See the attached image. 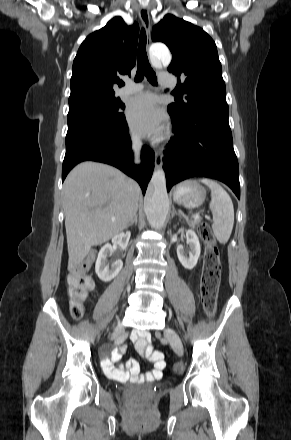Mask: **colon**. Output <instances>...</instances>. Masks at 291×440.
I'll use <instances>...</instances> for the list:
<instances>
[{"label":"colon","instance_id":"1","mask_svg":"<svg viewBox=\"0 0 291 440\" xmlns=\"http://www.w3.org/2000/svg\"><path fill=\"white\" fill-rule=\"evenodd\" d=\"M197 233L206 245L200 285L203 308L206 316L212 317L215 312L216 298L220 285L221 264L219 250L212 231L206 223L201 222L198 224ZM87 265L88 261H83L69 276V294L72 300L71 315L75 319L81 318L84 314V303L89 291L92 289L91 280L84 273ZM160 356L159 352L154 353V358Z\"/></svg>","mask_w":291,"mask_h":440}]
</instances>
